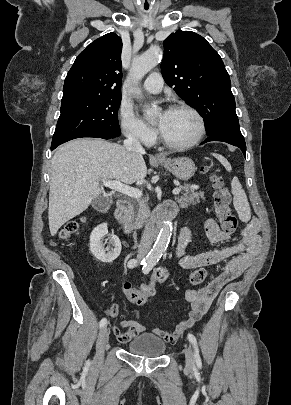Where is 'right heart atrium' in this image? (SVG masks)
Wrapping results in <instances>:
<instances>
[{
    "instance_id": "right-heart-atrium-1",
    "label": "right heart atrium",
    "mask_w": 291,
    "mask_h": 405,
    "mask_svg": "<svg viewBox=\"0 0 291 405\" xmlns=\"http://www.w3.org/2000/svg\"><path fill=\"white\" fill-rule=\"evenodd\" d=\"M119 120L123 134L129 139L145 145L154 141L155 131L137 117L130 108L125 106L120 108Z\"/></svg>"
}]
</instances>
